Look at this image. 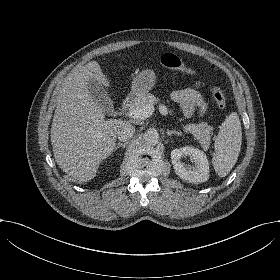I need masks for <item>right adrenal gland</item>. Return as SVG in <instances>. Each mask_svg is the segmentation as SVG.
I'll return each mask as SVG.
<instances>
[{"mask_svg": "<svg viewBox=\"0 0 280 280\" xmlns=\"http://www.w3.org/2000/svg\"><path fill=\"white\" fill-rule=\"evenodd\" d=\"M126 145H127V142H123V143H122V142H118V143H115V144H114V149L117 150V149H119L120 147H123V148H124V147H126Z\"/></svg>", "mask_w": 280, "mask_h": 280, "instance_id": "1", "label": "right adrenal gland"}]
</instances>
